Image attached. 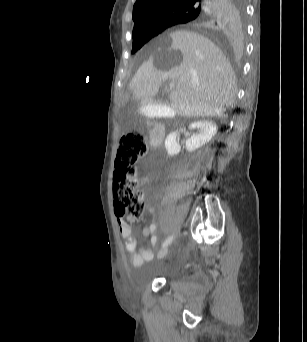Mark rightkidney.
<instances>
[{
	"instance_id": "1",
	"label": "right kidney",
	"mask_w": 307,
	"mask_h": 342,
	"mask_svg": "<svg viewBox=\"0 0 307 342\" xmlns=\"http://www.w3.org/2000/svg\"><path fill=\"white\" fill-rule=\"evenodd\" d=\"M189 128L190 130L199 128L200 134H193L191 138L186 140L187 152H194V150H197V148H201V146H204V144L210 142L217 132V126L214 124V122H212V120H200V122H192ZM179 136L180 132H178V130L168 134L165 140V148L167 150L168 156H176V154L181 152V146H179L177 142V138H179Z\"/></svg>"
}]
</instances>
